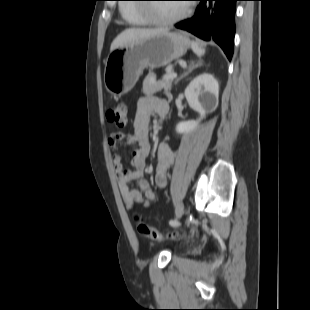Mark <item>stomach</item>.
<instances>
[{"label": "stomach", "mask_w": 310, "mask_h": 310, "mask_svg": "<svg viewBox=\"0 0 310 310\" xmlns=\"http://www.w3.org/2000/svg\"><path fill=\"white\" fill-rule=\"evenodd\" d=\"M192 45L185 35L165 31L118 47L109 53L105 62V86L115 96L126 94L135 86L145 67L168 65L182 57Z\"/></svg>", "instance_id": "stomach-1"}]
</instances>
